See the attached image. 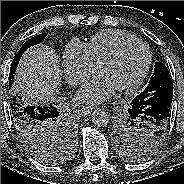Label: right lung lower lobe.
<instances>
[{
	"mask_svg": "<svg viewBox=\"0 0 184 184\" xmlns=\"http://www.w3.org/2000/svg\"><path fill=\"white\" fill-rule=\"evenodd\" d=\"M55 105H57V104L51 103L49 106H38V107H36V109H38V110L32 111V113L39 115V112L47 113V112L52 111L54 109H58V107H56ZM28 107L30 109L34 108V106H28Z\"/></svg>",
	"mask_w": 184,
	"mask_h": 184,
	"instance_id": "right-lung-lower-lobe-1",
	"label": "right lung lower lobe"
}]
</instances>
